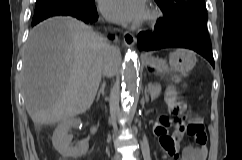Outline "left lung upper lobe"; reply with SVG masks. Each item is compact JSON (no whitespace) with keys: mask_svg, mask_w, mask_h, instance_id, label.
<instances>
[{"mask_svg":"<svg viewBox=\"0 0 242 160\" xmlns=\"http://www.w3.org/2000/svg\"><path fill=\"white\" fill-rule=\"evenodd\" d=\"M164 13L163 19L175 25L207 22L205 0H155Z\"/></svg>","mask_w":242,"mask_h":160,"instance_id":"1","label":"left lung upper lobe"}]
</instances>
